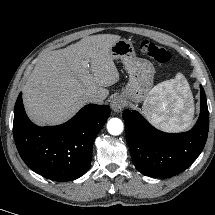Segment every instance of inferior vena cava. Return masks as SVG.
Masks as SVG:
<instances>
[{
	"label": "inferior vena cava",
	"mask_w": 215,
	"mask_h": 215,
	"mask_svg": "<svg viewBox=\"0 0 215 215\" xmlns=\"http://www.w3.org/2000/svg\"><path fill=\"white\" fill-rule=\"evenodd\" d=\"M104 97L100 94H90L87 97V101L93 104H102Z\"/></svg>",
	"instance_id": "602c4592"
}]
</instances>
